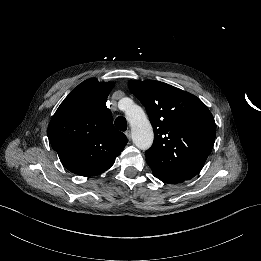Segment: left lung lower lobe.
Here are the masks:
<instances>
[{"instance_id": "obj_1", "label": "left lung lower lobe", "mask_w": 261, "mask_h": 261, "mask_svg": "<svg viewBox=\"0 0 261 261\" xmlns=\"http://www.w3.org/2000/svg\"><path fill=\"white\" fill-rule=\"evenodd\" d=\"M153 175L160 179L162 182L168 183V184H174V183H182L184 180L174 179L168 176H165L163 174H160L156 171H153Z\"/></svg>"}]
</instances>
